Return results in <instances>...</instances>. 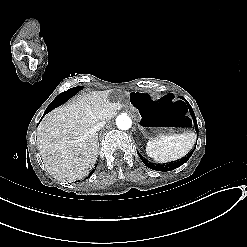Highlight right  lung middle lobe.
I'll use <instances>...</instances> for the list:
<instances>
[{
  "mask_svg": "<svg viewBox=\"0 0 247 247\" xmlns=\"http://www.w3.org/2000/svg\"><path fill=\"white\" fill-rule=\"evenodd\" d=\"M81 89V87H75V88H71L67 91L64 92V94H69L70 96H72L73 94H75L77 91H79ZM53 109V108H52ZM50 109V110H52Z\"/></svg>",
  "mask_w": 247,
  "mask_h": 247,
  "instance_id": "right-lung-middle-lobe-1",
  "label": "right lung middle lobe"
}]
</instances>
